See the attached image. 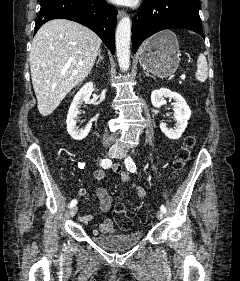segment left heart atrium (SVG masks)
<instances>
[{
  "instance_id": "39dd6f15",
  "label": "left heart atrium",
  "mask_w": 240,
  "mask_h": 281,
  "mask_svg": "<svg viewBox=\"0 0 240 281\" xmlns=\"http://www.w3.org/2000/svg\"><path fill=\"white\" fill-rule=\"evenodd\" d=\"M111 2L119 5H134L137 0H110Z\"/></svg>"
}]
</instances>
